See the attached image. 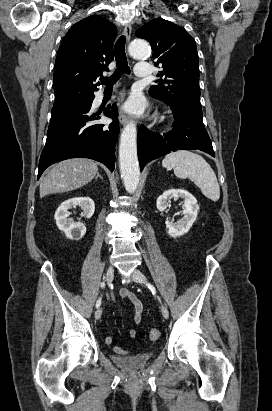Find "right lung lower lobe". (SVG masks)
I'll return each instance as SVG.
<instances>
[{
  "label": "right lung lower lobe",
  "mask_w": 272,
  "mask_h": 411,
  "mask_svg": "<svg viewBox=\"0 0 272 411\" xmlns=\"http://www.w3.org/2000/svg\"><path fill=\"white\" fill-rule=\"evenodd\" d=\"M92 98L65 111L52 114L47 140L39 161L40 178L51 164L69 158H91L114 170L115 143L119 133L115 105H108L95 112ZM113 118L111 123H102L101 116Z\"/></svg>",
  "instance_id": "1"
}]
</instances>
